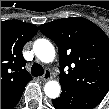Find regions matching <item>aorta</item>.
<instances>
[{"label":"aorta","instance_id":"1","mask_svg":"<svg viewBox=\"0 0 109 109\" xmlns=\"http://www.w3.org/2000/svg\"><path fill=\"white\" fill-rule=\"evenodd\" d=\"M33 51L37 58L44 63H50L55 58V49L47 39L36 40L33 45ZM44 92L49 98L56 99L60 95L61 86L57 81H48L44 86Z\"/></svg>","mask_w":109,"mask_h":109}]
</instances>
